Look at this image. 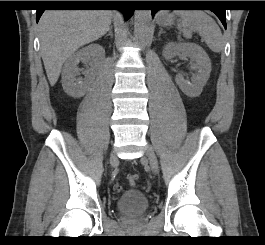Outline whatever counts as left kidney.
Instances as JSON below:
<instances>
[{"instance_id":"1","label":"left kidney","mask_w":265,"mask_h":245,"mask_svg":"<svg viewBox=\"0 0 265 245\" xmlns=\"http://www.w3.org/2000/svg\"><path fill=\"white\" fill-rule=\"evenodd\" d=\"M163 55L166 59H172L177 55L191 58V68L197 71L191 82L185 80L181 74L176 75L175 81L185 95L198 97L211 72V61L203 48L194 43L170 42L164 47Z\"/></svg>"}]
</instances>
